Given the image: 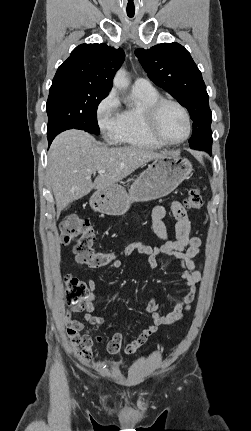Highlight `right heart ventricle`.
<instances>
[{
  "label": "right heart ventricle",
  "instance_id": "e07e8e85",
  "mask_svg": "<svg viewBox=\"0 0 251 431\" xmlns=\"http://www.w3.org/2000/svg\"><path fill=\"white\" fill-rule=\"evenodd\" d=\"M133 92L140 104L122 112L121 125L114 139L119 143L133 147L161 148L163 145L158 143L147 131L144 117L145 108L160 98V95L154 88L151 90L133 89Z\"/></svg>",
  "mask_w": 251,
  "mask_h": 431
}]
</instances>
